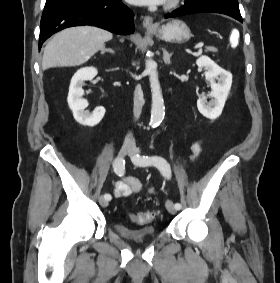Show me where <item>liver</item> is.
Returning a JSON list of instances; mask_svg holds the SVG:
<instances>
[{"instance_id": "obj_1", "label": "liver", "mask_w": 280, "mask_h": 283, "mask_svg": "<svg viewBox=\"0 0 280 283\" xmlns=\"http://www.w3.org/2000/svg\"><path fill=\"white\" fill-rule=\"evenodd\" d=\"M109 31L80 26L67 28L57 33L46 45L42 68L69 67L87 62L112 39Z\"/></svg>"}]
</instances>
